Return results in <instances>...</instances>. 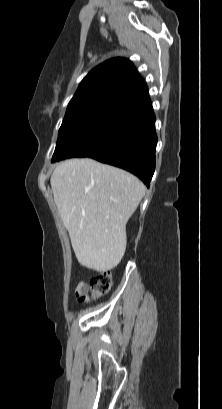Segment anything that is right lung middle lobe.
<instances>
[{
  "label": "right lung middle lobe",
  "mask_w": 222,
  "mask_h": 409,
  "mask_svg": "<svg viewBox=\"0 0 222 409\" xmlns=\"http://www.w3.org/2000/svg\"><path fill=\"white\" fill-rule=\"evenodd\" d=\"M125 110L122 105H94L68 109L59 129L52 162L85 157L97 149L114 120Z\"/></svg>",
  "instance_id": "dd1d6c3e"
}]
</instances>
